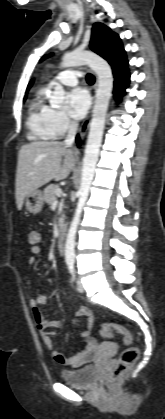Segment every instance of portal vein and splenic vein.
I'll use <instances>...</instances> for the list:
<instances>
[{
    "mask_svg": "<svg viewBox=\"0 0 165 419\" xmlns=\"http://www.w3.org/2000/svg\"><path fill=\"white\" fill-rule=\"evenodd\" d=\"M55 193H56V195L59 197V196H61L62 191H61V189H57Z\"/></svg>",
    "mask_w": 165,
    "mask_h": 419,
    "instance_id": "portal-vein-and-splenic-vein-1",
    "label": "portal vein and splenic vein"
}]
</instances>
